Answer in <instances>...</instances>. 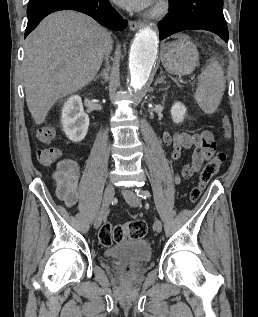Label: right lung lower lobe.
<instances>
[{
    "label": "right lung lower lobe",
    "instance_id": "obj_1",
    "mask_svg": "<svg viewBox=\"0 0 258 317\" xmlns=\"http://www.w3.org/2000/svg\"><path fill=\"white\" fill-rule=\"evenodd\" d=\"M76 10L93 17L99 24L114 30H122L127 21L111 6L109 0H29L26 37L40 21L52 12Z\"/></svg>",
    "mask_w": 258,
    "mask_h": 317
}]
</instances>
